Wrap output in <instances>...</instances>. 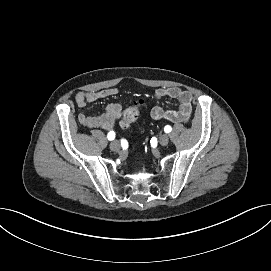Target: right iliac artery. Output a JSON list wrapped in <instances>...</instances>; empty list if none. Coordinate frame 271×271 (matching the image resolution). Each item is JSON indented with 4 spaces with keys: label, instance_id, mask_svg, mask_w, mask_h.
Here are the masks:
<instances>
[{
    "label": "right iliac artery",
    "instance_id": "obj_1",
    "mask_svg": "<svg viewBox=\"0 0 271 271\" xmlns=\"http://www.w3.org/2000/svg\"><path fill=\"white\" fill-rule=\"evenodd\" d=\"M107 138H108V140H114V138H115V132L114 131H110L109 133H108V135H107Z\"/></svg>",
    "mask_w": 271,
    "mask_h": 271
}]
</instances>
